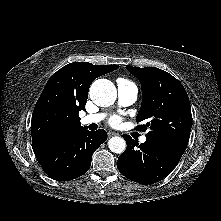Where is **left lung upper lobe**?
<instances>
[{
  "label": "left lung upper lobe",
  "mask_w": 221,
  "mask_h": 221,
  "mask_svg": "<svg viewBox=\"0 0 221 221\" xmlns=\"http://www.w3.org/2000/svg\"><path fill=\"white\" fill-rule=\"evenodd\" d=\"M141 82L143 101L137 115L138 130L146 138L185 152L192 124L191 107L183 85L166 71L154 67H126Z\"/></svg>",
  "instance_id": "5c2ea615"
}]
</instances>
